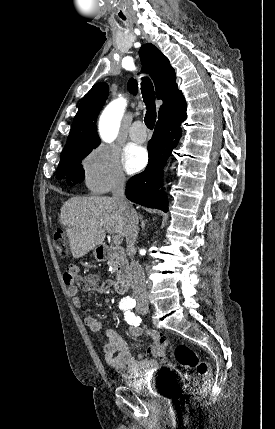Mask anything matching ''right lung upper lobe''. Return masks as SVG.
Here are the masks:
<instances>
[{
  "instance_id": "obj_1",
  "label": "right lung upper lobe",
  "mask_w": 275,
  "mask_h": 429,
  "mask_svg": "<svg viewBox=\"0 0 275 429\" xmlns=\"http://www.w3.org/2000/svg\"><path fill=\"white\" fill-rule=\"evenodd\" d=\"M140 57L144 71L154 80L157 98L163 100L159 108L158 122L167 120L186 108L183 94L176 84L175 71L161 51L153 44L147 43L141 47ZM128 88L135 94L137 82L130 79ZM107 96L108 85L102 82L94 85L83 97L61 157L91 152L100 144L96 133V119Z\"/></svg>"
}]
</instances>
